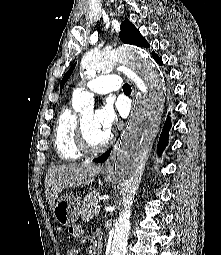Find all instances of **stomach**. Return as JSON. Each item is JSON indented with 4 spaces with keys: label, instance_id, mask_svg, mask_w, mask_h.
<instances>
[{
    "label": "stomach",
    "instance_id": "obj_1",
    "mask_svg": "<svg viewBox=\"0 0 221 255\" xmlns=\"http://www.w3.org/2000/svg\"><path fill=\"white\" fill-rule=\"evenodd\" d=\"M106 182H112L113 176L105 174ZM82 208V199L75 195H63L56 200L52 207L55 220L62 226H69L77 222Z\"/></svg>",
    "mask_w": 221,
    "mask_h": 255
}]
</instances>
